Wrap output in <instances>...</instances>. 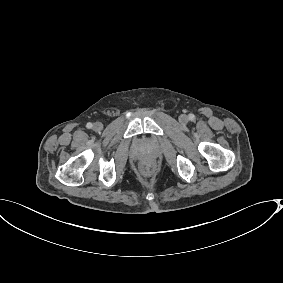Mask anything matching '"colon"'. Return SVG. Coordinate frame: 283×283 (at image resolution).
<instances>
[{
    "mask_svg": "<svg viewBox=\"0 0 283 283\" xmlns=\"http://www.w3.org/2000/svg\"><path fill=\"white\" fill-rule=\"evenodd\" d=\"M142 170L143 172L148 173L151 170V166L149 164H144Z\"/></svg>",
    "mask_w": 283,
    "mask_h": 283,
    "instance_id": "1",
    "label": "colon"
}]
</instances>
